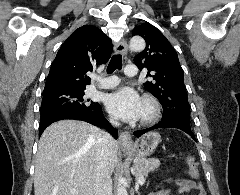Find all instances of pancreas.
I'll use <instances>...</instances> for the list:
<instances>
[{"label":"pancreas","mask_w":240,"mask_h":195,"mask_svg":"<svg viewBox=\"0 0 240 195\" xmlns=\"http://www.w3.org/2000/svg\"><path fill=\"white\" fill-rule=\"evenodd\" d=\"M159 165L160 161L156 159V157H150V159H144V157H142V159H138V163H135L137 177L139 173H141V175H148L149 171H154Z\"/></svg>","instance_id":"1"}]
</instances>
